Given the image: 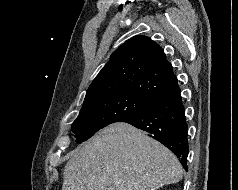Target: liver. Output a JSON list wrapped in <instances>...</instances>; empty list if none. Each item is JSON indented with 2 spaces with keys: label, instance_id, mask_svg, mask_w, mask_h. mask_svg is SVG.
Instances as JSON below:
<instances>
[{
  "label": "liver",
  "instance_id": "6515ba94",
  "mask_svg": "<svg viewBox=\"0 0 238 190\" xmlns=\"http://www.w3.org/2000/svg\"><path fill=\"white\" fill-rule=\"evenodd\" d=\"M183 177L177 157L130 124H111L73 152L62 190H157Z\"/></svg>",
  "mask_w": 238,
  "mask_h": 190
}]
</instances>
